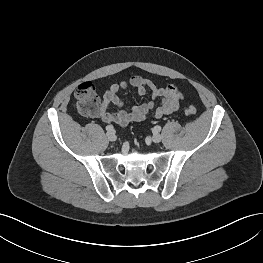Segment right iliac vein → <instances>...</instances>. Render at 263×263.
Wrapping results in <instances>:
<instances>
[{"mask_svg": "<svg viewBox=\"0 0 263 263\" xmlns=\"http://www.w3.org/2000/svg\"><path fill=\"white\" fill-rule=\"evenodd\" d=\"M106 137L109 141H116L117 137L114 132H108Z\"/></svg>", "mask_w": 263, "mask_h": 263, "instance_id": "obj_1", "label": "right iliac vein"}]
</instances>
